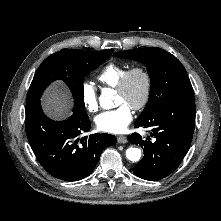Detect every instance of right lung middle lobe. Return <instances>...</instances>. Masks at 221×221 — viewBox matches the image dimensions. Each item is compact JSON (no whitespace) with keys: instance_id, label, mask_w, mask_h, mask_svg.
<instances>
[{"instance_id":"right-lung-middle-lobe-1","label":"right lung middle lobe","mask_w":221,"mask_h":221,"mask_svg":"<svg viewBox=\"0 0 221 221\" xmlns=\"http://www.w3.org/2000/svg\"><path fill=\"white\" fill-rule=\"evenodd\" d=\"M114 52L106 49L100 52L79 49H63L46 58L38 67L29 88L27 104L40 101L44 89L53 81L67 84L74 98V108L85 112L84 78L105 62Z\"/></svg>"}]
</instances>
